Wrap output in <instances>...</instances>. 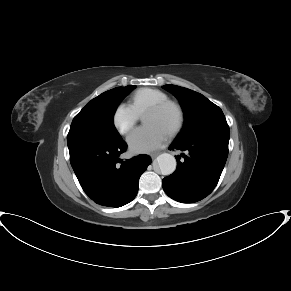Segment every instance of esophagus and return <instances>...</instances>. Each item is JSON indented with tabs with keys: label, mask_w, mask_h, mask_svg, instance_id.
Segmentation results:
<instances>
[{
	"label": "esophagus",
	"mask_w": 291,
	"mask_h": 291,
	"mask_svg": "<svg viewBox=\"0 0 291 291\" xmlns=\"http://www.w3.org/2000/svg\"><path fill=\"white\" fill-rule=\"evenodd\" d=\"M158 154H159L158 152H155V153H152L150 156L152 159H154L158 156Z\"/></svg>",
	"instance_id": "34e87169"
}]
</instances>
